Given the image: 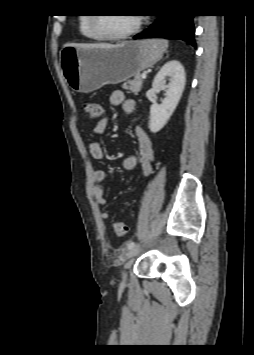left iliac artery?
Here are the masks:
<instances>
[{
    "mask_svg": "<svg viewBox=\"0 0 254 355\" xmlns=\"http://www.w3.org/2000/svg\"><path fill=\"white\" fill-rule=\"evenodd\" d=\"M127 247H128V249L134 248L135 247V242H133V241L129 242Z\"/></svg>",
    "mask_w": 254,
    "mask_h": 355,
    "instance_id": "1",
    "label": "left iliac artery"
}]
</instances>
